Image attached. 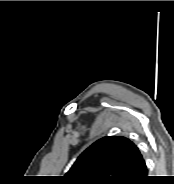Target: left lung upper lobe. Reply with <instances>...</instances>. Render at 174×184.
Wrapping results in <instances>:
<instances>
[{
  "label": "left lung upper lobe",
  "mask_w": 174,
  "mask_h": 184,
  "mask_svg": "<svg viewBox=\"0 0 174 184\" xmlns=\"http://www.w3.org/2000/svg\"><path fill=\"white\" fill-rule=\"evenodd\" d=\"M139 155L129 139L107 136L88 147L65 176L70 184H127Z\"/></svg>",
  "instance_id": "obj_1"
}]
</instances>
